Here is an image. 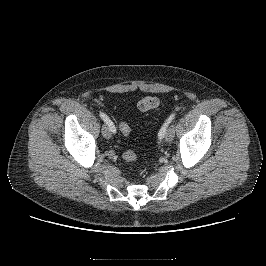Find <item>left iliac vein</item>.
Instances as JSON below:
<instances>
[{
  "label": "left iliac vein",
  "mask_w": 266,
  "mask_h": 266,
  "mask_svg": "<svg viewBox=\"0 0 266 266\" xmlns=\"http://www.w3.org/2000/svg\"><path fill=\"white\" fill-rule=\"evenodd\" d=\"M175 135V131L173 127H169L165 132V140L166 141H172Z\"/></svg>",
  "instance_id": "4c4485c4"
}]
</instances>
